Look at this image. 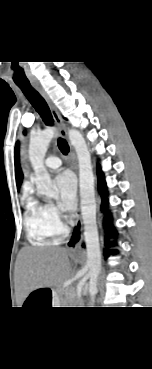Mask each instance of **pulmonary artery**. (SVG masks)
I'll use <instances>...</instances> for the list:
<instances>
[{"instance_id": "obj_1", "label": "pulmonary artery", "mask_w": 152, "mask_h": 369, "mask_svg": "<svg viewBox=\"0 0 152 369\" xmlns=\"http://www.w3.org/2000/svg\"><path fill=\"white\" fill-rule=\"evenodd\" d=\"M44 163L50 170H56L61 166V160L56 156H49Z\"/></svg>"}]
</instances>
